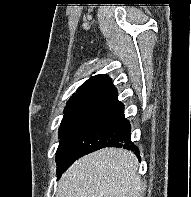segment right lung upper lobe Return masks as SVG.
Returning a JSON list of instances; mask_svg holds the SVG:
<instances>
[{
    "instance_id": "1",
    "label": "right lung upper lobe",
    "mask_w": 191,
    "mask_h": 197,
    "mask_svg": "<svg viewBox=\"0 0 191 197\" xmlns=\"http://www.w3.org/2000/svg\"><path fill=\"white\" fill-rule=\"evenodd\" d=\"M116 91L111 78L99 74L90 77L72 95L66 104L64 112L80 109H92L95 105Z\"/></svg>"
}]
</instances>
